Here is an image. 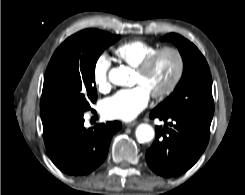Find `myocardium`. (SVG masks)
Instances as JSON below:
<instances>
[{"instance_id":"obj_1","label":"myocardium","mask_w":245,"mask_h":195,"mask_svg":"<svg viewBox=\"0 0 245 195\" xmlns=\"http://www.w3.org/2000/svg\"><path fill=\"white\" fill-rule=\"evenodd\" d=\"M164 53H171L176 59V69L175 73L169 82V84L161 91L152 93L151 96L155 99H163L169 96L178 86L184 72V57L178 48L166 46L157 49L154 53L144 59L136 68V72L140 75L146 74L156 60Z\"/></svg>"}]
</instances>
